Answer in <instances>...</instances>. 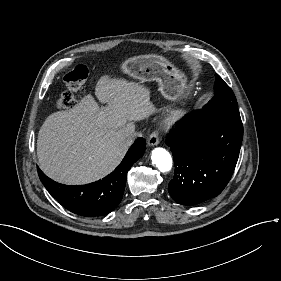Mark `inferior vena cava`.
Segmentation results:
<instances>
[{
	"instance_id": "inferior-vena-cava-1",
	"label": "inferior vena cava",
	"mask_w": 281,
	"mask_h": 281,
	"mask_svg": "<svg viewBox=\"0 0 281 281\" xmlns=\"http://www.w3.org/2000/svg\"><path fill=\"white\" fill-rule=\"evenodd\" d=\"M136 133H127L122 136V139L129 145H132L134 140L136 139Z\"/></svg>"
}]
</instances>
